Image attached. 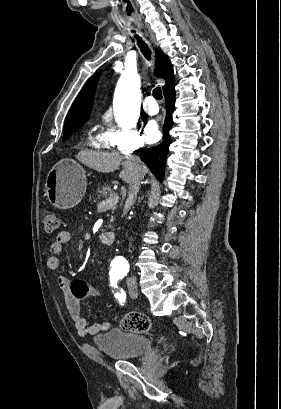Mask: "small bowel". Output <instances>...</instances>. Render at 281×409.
Listing matches in <instances>:
<instances>
[{
  "label": "small bowel",
  "instance_id": "1",
  "mask_svg": "<svg viewBox=\"0 0 281 409\" xmlns=\"http://www.w3.org/2000/svg\"><path fill=\"white\" fill-rule=\"evenodd\" d=\"M71 239V233L68 230L60 231L50 245L51 256L47 260V267L50 270L60 268L59 257L64 252V247ZM58 285L63 293L64 303L69 317L81 337L94 336L102 331H107L111 323L107 319H102L93 324H88L80 312V301L90 296H100L101 292L95 286L81 279L70 280L66 275L59 274Z\"/></svg>",
  "mask_w": 281,
  "mask_h": 409
}]
</instances>
